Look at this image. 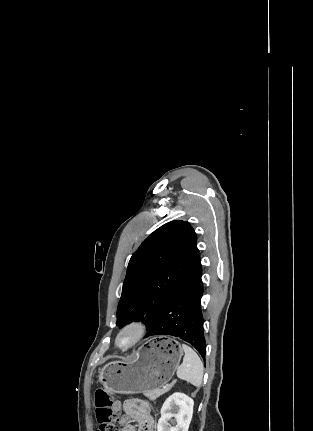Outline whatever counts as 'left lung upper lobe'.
<instances>
[{
    "mask_svg": "<svg viewBox=\"0 0 313 431\" xmlns=\"http://www.w3.org/2000/svg\"><path fill=\"white\" fill-rule=\"evenodd\" d=\"M189 222L174 220L149 235L132 255L117 307L116 325L142 321L147 329L163 306L201 266Z\"/></svg>",
    "mask_w": 313,
    "mask_h": 431,
    "instance_id": "left-lung-upper-lobe-1",
    "label": "left lung upper lobe"
}]
</instances>
